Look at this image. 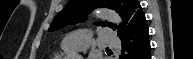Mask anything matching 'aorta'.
Listing matches in <instances>:
<instances>
[{"label": "aorta", "mask_w": 193, "mask_h": 59, "mask_svg": "<svg viewBox=\"0 0 193 59\" xmlns=\"http://www.w3.org/2000/svg\"><path fill=\"white\" fill-rule=\"evenodd\" d=\"M93 15L96 18L99 19H105L109 22L115 23V24H119L122 20L121 17L113 10H109L107 8H102V9H97L95 11H93ZM75 59H81V56L76 55L74 56Z\"/></svg>", "instance_id": "762f6f07"}]
</instances>
